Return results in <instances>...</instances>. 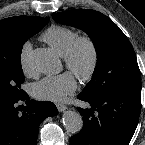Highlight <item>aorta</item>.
<instances>
[{"label":"aorta","mask_w":145,"mask_h":145,"mask_svg":"<svg viewBox=\"0 0 145 145\" xmlns=\"http://www.w3.org/2000/svg\"><path fill=\"white\" fill-rule=\"evenodd\" d=\"M30 60L33 66L43 73H51L57 64V59L47 49L34 50ZM62 121L65 129L70 133H78L83 126L81 115L71 110L64 112Z\"/></svg>","instance_id":"obj_1"}]
</instances>
